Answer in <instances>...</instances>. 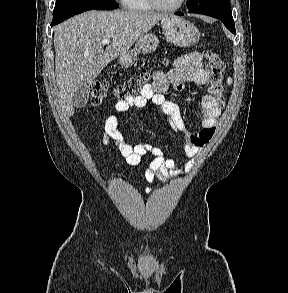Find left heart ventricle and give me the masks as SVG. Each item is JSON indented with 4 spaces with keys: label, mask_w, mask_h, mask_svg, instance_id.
Wrapping results in <instances>:
<instances>
[{
    "label": "left heart ventricle",
    "mask_w": 288,
    "mask_h": 293,
    "mask_svg": "<svg viewBox=\"0 0 288 293\" xmlns=\"http://www.w3.org/2000/svg\"><path fill=\"white\" fill-rule=\"evenodd\" d=\"M157 1L164 6H173L177 4L179 0H157Z\"/></svg>",
    "instance_id": "1"
}]
</instances>
